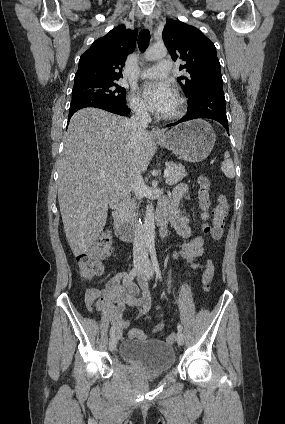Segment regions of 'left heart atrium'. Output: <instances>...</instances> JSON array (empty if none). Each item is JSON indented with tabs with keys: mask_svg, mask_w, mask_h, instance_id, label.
Segmentation results:
<instances>
[{
	"mask_svg": "<svg viewBox=\"0 0 285 424\" xmlns=\"http://www.w3.org/2000/svg\"><path fill=\"white\" fill-rule=\"evenodd\" d=\"M142 93L150 109L159 114H165L176 98L174 89L166 82L148 83Z\"/></svg>",
	"mask_w": 285,
	"mask_h": 424,
	"instance_id": "left-heart-atrium-1",
	"label": "left heart atrium"
}]
</instances>
